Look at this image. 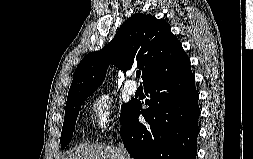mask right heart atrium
<instances>
[{"instance_id":"right-heart-atrium-1","label":"right heart atrium","mask_w":253,"mask_h":159,"mask_svg":"<svg viewBox=\"0 0 253 159\" xmlns=\"http://www.w3.org/2000/svg\"><path fill=\"white\" fill-rule=\"evenodd\" d=\"M93 124L100 136H107L119 126V115L112 98L98 94L89 103Z\"/></svg>"}]
</instances>
